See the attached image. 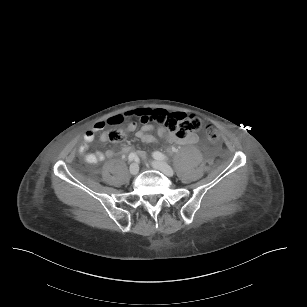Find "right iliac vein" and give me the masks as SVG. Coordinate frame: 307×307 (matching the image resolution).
I'll list each match as a JSON object with an SVG mask.
<instances>
[{"label":"right iliac vein","instance_id":"1","mask_svg":"<svg viewBox=\"0 0 307 307\" xmlns=\"http://www.w3.org/2000/svg\"><path fill=\"white\" fill-rule=\"evenodd\" d=\"M129 172L132 175H136L139 172V165L137 163H132L129 167Z\"/></svg>","mask_w":307,"mask_h":307}]
</instances>
